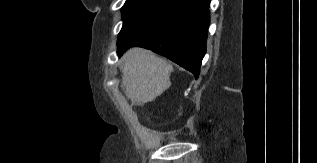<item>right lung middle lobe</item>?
Instances as JSON below:
<instances>
[{
	"label": "right lung middle lobe",
	"instance_id": "dd1d6c3e",
	"mask_svg": "<svg viewBox=\"0 0 317 163\" xmlns=\"http://www.w3.org/2000/svg\"><path fill=\"white\" fill-rule=\"evenodd\" d=\"M175 2L176 0H126L122 8L123 27L118 38H126L149 25Z\"/></svg>",
	"mask_w": 317,
	"mask_h": 163
}]
</instances>
